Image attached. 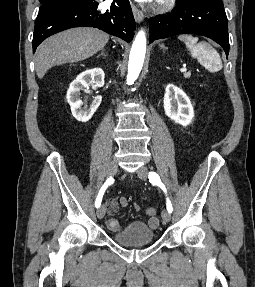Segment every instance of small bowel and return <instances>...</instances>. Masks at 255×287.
<instances>
[{
    "instance_id": "obj_1",
    "label": "small bowel",
    "mask_w": 255,
    "mask_h": 287,
    "mask_svg": "<svg viewBox=\"0 0 255 287\" xmlns=\"http://www.w3.org/2000/svg\"><path fill=\"white\" fill-rule=\"evenodd\" d=\"M127 205H128V199L125 197H121L118 201L110 200L107 204V211L110 215H114L116 214L119 206L126 207ZM137 209H139L138 206H137ZM148 224L149 226L156 228L159 225V220L157 217H150L148 220ZM107 226L113 232L121 228V225L115 219H109L107 222Z\"/></svg>"
}]
</instances>
